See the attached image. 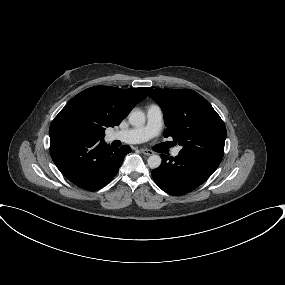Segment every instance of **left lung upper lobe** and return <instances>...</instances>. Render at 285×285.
<instances>
[{
  "label": "left lung upper lobe",
  "mask_w": 285,
  "mask_h": 285,
  "mask_svg": "<svg viewBox=\"0 0 285 285\" xmlns=\"http://www.w3.org/2000/svg\"><path fill=\"white\" fill-rule=\"evenodd\" d=\"M149 96L163 111L164 137L182 145L181 152L222 161L226 127L204 97L187 89H154Z\"/></svg>",
  "instance_id": "1"
}]
</instances>
